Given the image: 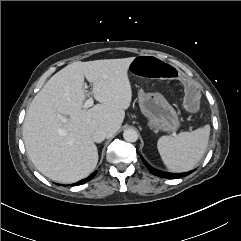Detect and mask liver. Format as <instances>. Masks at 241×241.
Wrapping results in <instances>:
<instances>
[{"label":"liver","instance_id":"1","mask_svg":"<svg viewBox=\"0 0 241 241\" xmlns=\"http://www.w3.org/2000/svg\"><path fill=\"white\" fill-rule=\"evenodd\" d=\"M134 57L74 62L56 74L32 100L23 123L28 157L44 176L74 183L98 163L92 139L96 129L112 137L121 127L132 100L128 68ZM84 78L99 102L84 108ZM61 117H66L62 121Z\"/></svg>","mask_w":241,"mask_h":241}]
</instances>
